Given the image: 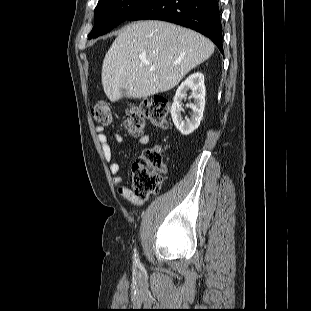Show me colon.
<instances>
[{
  "mask_svg": "<svg viewBox=\"0 0 311 311\" xmlns=\"http://www.w3.org/2000/svg\"><path fill=\"white\" fill-rule=\"evenodd\" d=\"M169 101L162 96L142 99L131 105L124 114V125L129 133L141 136L145 125L166 129L168 121ZM93 119L100 125H109L112 112L106 101L96 102L91 110ZM167 170L159 146L144 149L142 157L135 163L132 170V189L138 196H146L161 189Z\"/></svg>",
  "mask_w": 311,
  "mask_h": 311,
  "instance_id": "colon-1",
  "label": "colon"
}]
</instances>
